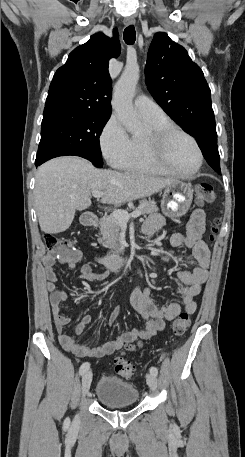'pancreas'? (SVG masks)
<instances>
[{
  "label": "pancreas",
  "mask_w": 245,
  "mask_h": 457,
  "mask_svg": "<svg viewBox=\"0 0 245 457\" xmlns=\"http://www.w3.org/2000/svg\"><path fill=\"white\" fill-rule=\"evenodd\" d=\"M134 210H140L141 214H152V212H157L159 208L156 206L154 200H140L139 206L134 208ZM120 224V220L116 216H113V214L102 216L99 222L94 224V226H99V235H101L100 239H97L98 243H101L106 249H110L112 255H118L121 251V245H118Z\"/></svg>",
  "instance_id": "1"
}]
</instances>
